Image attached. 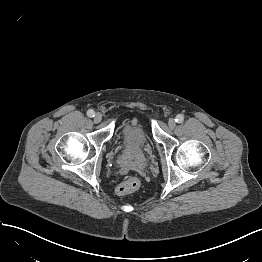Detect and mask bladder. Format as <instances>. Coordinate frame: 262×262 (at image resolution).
Returning a JSON list of instances; mask_svg holds the SVG:
<instances>
[{
	"mask_svg": "<svg viewBox=\"0 0 262 262\" xmlns=\"http://www.w3.org/2000/svg\"><path fill=\"white\" fill-rule=\"evenodd\" d=\"M122 140L129 151H141L149 145L150 136L146 128L139 123L125 127Z\"/></svg>",
	"mask_w": 262,
	"mask_h": 262,
	"instance_id": "1",
	"label": "bladder"
}]
</instances>
